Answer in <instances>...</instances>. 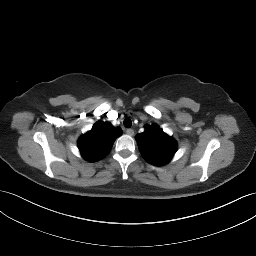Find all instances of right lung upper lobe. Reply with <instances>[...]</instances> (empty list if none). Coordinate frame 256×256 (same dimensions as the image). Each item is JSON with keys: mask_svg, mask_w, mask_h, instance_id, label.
I'll list each match as a JSON object with an SVG mask.
<instances>
[{"mask_svg": "<svg viewBox=\"0 0 256 256\" xmlns=\"http://www.w3.org/2000/svg\"><path fill=\"white\" fill-rule=\"evenodd\" d=\"M120 135L119 127H114L109 122L98 121L89 132L80 137L78 148L84 159L96 162L109 153L115 139Z\"/></svg>", "mask_w": 256, "mask_h": 256, "instance_id": "1", "label": "right lung upper lobe"}]
</instances>
